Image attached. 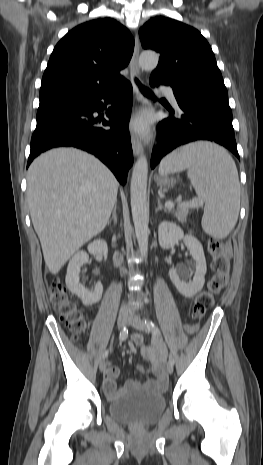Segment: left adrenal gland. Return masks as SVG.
Masks as SVG:
<instances>
[{
  "label": "left adrenal gland",
  "mask_w": 263,
  "mask_h": 465,
  "mask_svg": "<svg viewBox=\"0 0 263 465\" xmlns=\"http://www.w3.org/2000/svg\"><path fill=\"white\" fill-rule=\"evenodd\" d=\"M157 202H158V207L156 208V212L160 211V210H164V212H167L166 208H164L161 204V201H160V198H157Z\"/></svg>",
  "instance_id": "1"
}]
</instances>
